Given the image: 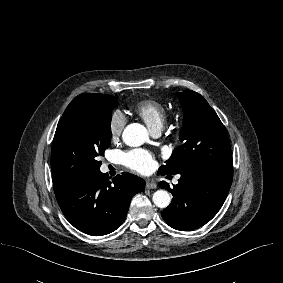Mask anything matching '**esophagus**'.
Instances as JSON below:
<instances>
[{
	"mask_svg": "<svg viewBox=\"0 0 283 283\" xmlns=\"http://www.w3.org/2000/svg\"><path fill=\"white\" fill-rule=\"evenodd\" d=\"M146 188L147 189H156L157 188V184L154 183L153 181H146Z\"/></svg>",
	"mask_w": 283,
	"mask_h": 283,
	"instance_id": "34e87169",
	"label": "esophagus"
}]
</instances>
